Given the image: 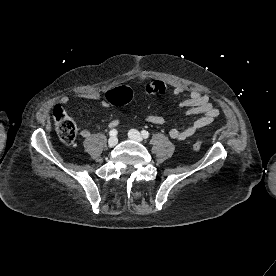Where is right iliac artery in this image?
I'll list each match as a JSON object with an SVG mask.
<instances>
[{"label":"right iliac artery","instance_id":"82829eb1","mask_svg":"<svg viewBox=\"0 0 276 276\" xmlns=\"http://www.w3.org/2000/svg\"><path fill=\"white\" fill-rule=\"evenodd\" d=\"M117 130L116 129H112L109 133L110 136H116L117 135Z\"/></svg>","mask_w":276,"mask_h":276}]
</instances>
